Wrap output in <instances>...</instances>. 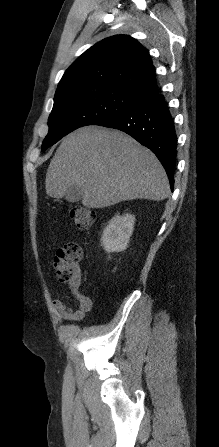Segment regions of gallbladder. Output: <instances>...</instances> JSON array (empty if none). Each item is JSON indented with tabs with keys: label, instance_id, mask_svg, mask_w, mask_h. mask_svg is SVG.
I'll use <instances>...</instances> for the list:
<instances>
[{
	"label": "gallbladder",
	"instance_id": "bac80fb5",
	"mask_svg": "<svg viewBox=\"0 0 219 447\" xmlns=\"http://www.w3.org/2000/svg\"><path fill=\"white\" fill-rule=\"evenodd\" d=\"M83 192L82 189L78 186L71 187L65 195V199L68 202L75 203L79 202L82 199Z\"/></svg>",
	"mask_w": 219,
	"mask_h": 447
}]
</instances>
